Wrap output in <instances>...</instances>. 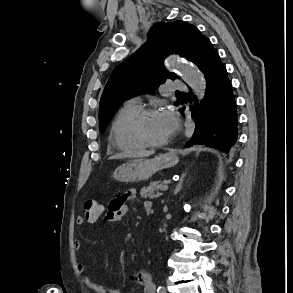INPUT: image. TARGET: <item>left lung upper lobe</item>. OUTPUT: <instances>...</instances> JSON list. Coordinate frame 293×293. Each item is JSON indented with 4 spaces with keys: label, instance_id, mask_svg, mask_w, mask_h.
I'll use <instances>...</instances> for the list:
<instances>
[{
    "label": "left lung upper lobe",
    "instance_id": "1",
    "mask_svg": "<svg viewBox=\"0 0 293 293\" xmlns=\"http://www.w3.org/2000/svg\"><path fill=\"white\" fill-rule=\"evenodd\" d=\"M150 40L111 74L99 105V128L104 131L112 116L130 96L152 93L175 74L166 71L164 58L176 53L199 66L208 39L184 21L155 24ZM180 100L175 102L178 105Z\"/></svg>",
    "mask_w": 293,
    "mask_h": 293
}]
</instances>
